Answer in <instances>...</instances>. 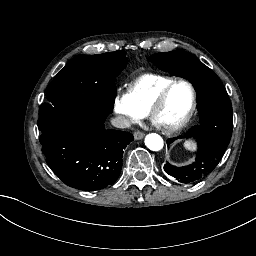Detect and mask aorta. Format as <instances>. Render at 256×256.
Wrapping results in <instances>:
<instances>
[{
    "label": "aorta",
    "mask_w": 256,
    "mask_h": 256,
    "mask_svg": "<svg viewBox=\"0 0 256 256\" xmlns=\"http://www.w3.org/2000/svg\"><path fill=\"white\" fill-rule=\"evenodd\" d=\"M145 145L152 151H159L164 146V140L159 134L150 133L145 137Z\"/></svg>",
    "instance_id": "1"
}]
</instances>
